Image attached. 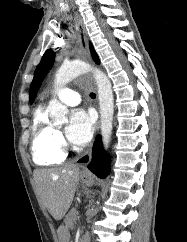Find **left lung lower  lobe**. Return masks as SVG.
Wrapping results in <instances>:
<instances>
[{"label":"left lung lower lobe","instance_id":"0a47b994","mask_svg":"<svg viewBox=\"0 0 187 242\" xmlns=\"http://www.w3.org/2000/svg\"><path fill=\"white\" fill-rule=\"evenodd\" d=\"M88 161V157L79 160L80 163ZM88 168L100 178H105L109 174V162L104 154L101 137L97 136L92 152V160Z\"/></svg>","mask_w":187,"mask_h":242}]
</instances>
